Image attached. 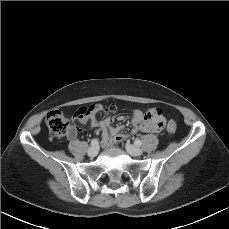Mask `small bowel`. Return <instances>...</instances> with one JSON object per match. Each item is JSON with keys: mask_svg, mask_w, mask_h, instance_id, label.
Masks as SVG:
<instances>
[{"mask_svg": "<svg viewBox=\"0 0 229 229\" xmlns=\"http://www.w3.org/2000/svg\"><path fill=\"white\" fill-rule=\"evenodd\" d=\"M74 119L78 120L82 124H88L91 127H98L102 133V140L106 144H112L115 142H123L126 139V135L121 133V126H113L109 118L98 119L94 114L80 115L77 111L74 114ZM118 121H124L125 116L119 115ZM131 123L134 131L150 132V128L144 123V112L140 109H135L132 113ZM76 129H72L69 133V137H74Z\"/></svg>", "mask_w": 229, "mask_h": 229, "instance_id": "c3829d8e", "label": "small bowel"}]
</instances>
